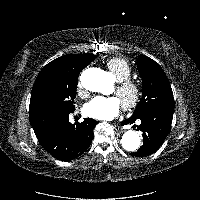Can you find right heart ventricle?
<instances>
[{"instance_id": "obj_1", "label": "right heart ventricle", "mask_w": 200, "mask_h": 200, "mask_svg": "<svg viewBox=\"0 0 200 200\" xmlns=\"http://www.w3.org/2000/svg\"><path fill=\"white\" fill-rule=\"evenodd\" d=\"M106 65L118 82L130 79L133 74L132 67L128 60H126L125 58H110L109 60H107Z\"/></svg>"}]
</instances>
